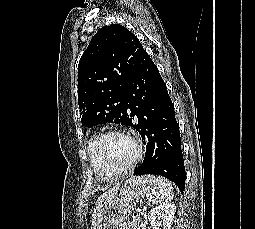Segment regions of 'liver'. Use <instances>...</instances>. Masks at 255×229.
I'll return each mask as SVG.
<instances>
[{"instance_id":"obj_1","label":"liver","mask_w":255,"mask_h":229,"mask_svg":"<svg viewBox=\"0 0 255 229\" xmlns=\"http://www.w3.org/2000/svg\"><path fill=\"white\" fill-rule=\"evenodd\" d=\"M119 188L120 183L116 184L113 188L104 192L101 196L98 197L93 210V215L100 211L111 199L117 195Z\"/></svg>"}]
</instances>
